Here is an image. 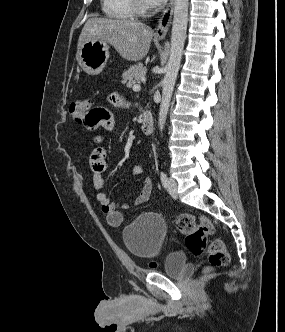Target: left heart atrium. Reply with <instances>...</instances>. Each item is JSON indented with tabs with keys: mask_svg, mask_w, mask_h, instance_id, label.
Masks as SVG:
<instances>
[{
	"mask_svg": "<svg viewBox=\"0 0 285 332\" xmlns=\"http://www.w3.org/2000/svg\"><path fill=\"white\" fill-rule=\"evenodd\" d=\"M150 2L151 5L153 6H159L163 4L166 0H147Z\"/></svg>",
	"mask_w": 285,
	"mask_h": 332,
	"instance_id": "39dd6f15",
	"label": "left heart atrium"
}]
</instances>
